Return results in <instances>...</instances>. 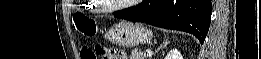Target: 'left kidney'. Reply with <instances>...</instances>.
Wrapping results in <instances>:
<instances>
[{"instance_id":"obj_1","label":"left kidney","mask_w":261,"mask_h":59,"mask_svg":"<svg viewBox=\"0 0 261 59\" xmlns=\"http://www.w3.org/2000/svg\"><path fill=\"white\" fill-rule=\"evenodd\" d=\"M165 59H183V57L179 50L175 48L166 55Z\"/></svg>"}]
</instances>
